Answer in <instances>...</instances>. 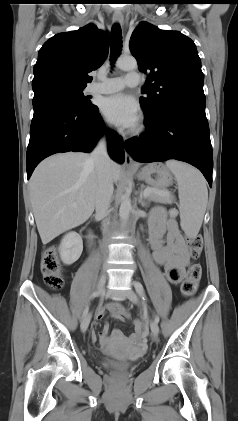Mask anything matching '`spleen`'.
I'll list each match as a JSON object with an SVG mask.
<instances>
[{
	"instance_id": "obj_1",
	"label": "spleen",
	"mask_w": 238,
	"mask_h": 421,
	"mask_svg": "<svg viewBox=\"0 0 238 421\" xmlns=\"http://www.w3.org/2000/svg\"><path fill=\"white\" fill-rule=\"evenodd\" d=\"M178 184L180 225L188 237H195L202 225L208 202L203 175L194 167L177 160L166 161Z\"/></svg>"
}]
</instances>
